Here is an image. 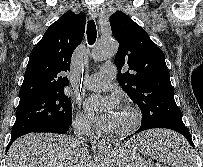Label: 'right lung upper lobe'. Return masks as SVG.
Here are the masks:
<instances>
[{
	"label": "right lung upper lobe",
	"instance_id": "cb5924a9",
	"mask_svg": "<svg viewBox=\"0 0 203 167\" xmlns=\"http://www.w3.org/2000/svg\"><path fill=\"white\" fill-rule=\"evenodd\" d=\"M86 16L67 11L46 30L43 38L30 53L20 102L26 99L64 91L69 85L65 73L70 71L71 56L82 42Z\"/></svg>",
	"mask_w": 203,
	"mask_h": 167
}]
</instances>
